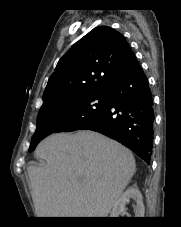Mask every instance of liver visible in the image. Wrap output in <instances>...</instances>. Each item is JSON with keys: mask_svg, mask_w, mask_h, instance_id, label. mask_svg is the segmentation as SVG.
Listing matches in <instances>:
<instances>
[{"mask_svg": "<svg viewBox=\"0 0 181 227\" xmlns=\"http://www.w3.org/2000/svg\"><path fill=\"white\" fill-rule=\"evenodd\" d=\"M35 154L46 161L28 168L38 217H106L136 169L129 149L89 130L51 135Z\"/></svg>", "mask_w": 181, "mask_h": 227, "instance_id": "liver-1", "label": "liver"}]
</instances>
